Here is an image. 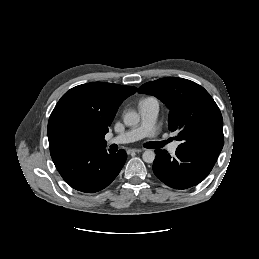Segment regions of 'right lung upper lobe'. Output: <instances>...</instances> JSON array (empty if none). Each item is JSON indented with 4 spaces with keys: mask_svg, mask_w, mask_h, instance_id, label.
Listing matches in <instances>:
<instances>
[{
    "mask_svg": "<svg viewBox=\"0 0 259 259\" xmlns=\"http://www.w3.org/2000/svg\"><path fill=\"white\" fill-rule=\"evenodd\" d=\"M137 88L94 82L67 91L48 121L51 157L105 148L108 132L121 103Z\"/></svg>",
    "mask_w": 259,
    "mask_h": 259,
    "instance_id": "1",
    "label": "right lung upper lobe"
}]
</instances>
